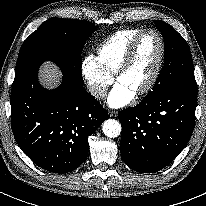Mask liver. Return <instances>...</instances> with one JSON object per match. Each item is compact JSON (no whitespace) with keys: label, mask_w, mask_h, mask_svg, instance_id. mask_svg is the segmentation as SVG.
<instances>
[{"label":"liver","mask_w":206,"mask_h":206,"mask_svg":"<svg viewBox=\"0 0 206 206\" xmlns=\"http://www.w3.org/2000/svg\"><path fill=\"white\" fill-rule=\"evenodd\" d=\"M39 78L45 87L54 88L61 82V73L54 64L46 62L40 68Z\"/></svg>","instance_id":"liver-1"}]
</instances>
